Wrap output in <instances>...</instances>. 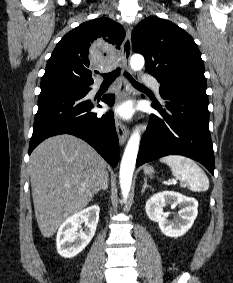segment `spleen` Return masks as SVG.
<instances>
[{
  "mask_svg": "<svg viewBox=\"0 0 233 283\" xmlns=\"http://www.w3.org/2000/svg\"><path fill=\"white\" fill-rule=\"evenodd\" d=\"M160 162L171 168L172 175L181 182L182 186H188L194 192L208 190V177L193 160L184 156L169 155L162 157Z\"/></svg>",
  "mask_w": 233,
  "mask_h": 283,
  "instance_id": "1",
  "label": "spleen"
}]
</instances>
